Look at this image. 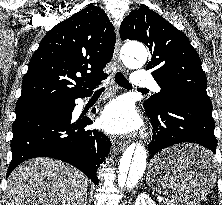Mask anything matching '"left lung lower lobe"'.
Wrapping results in <instances>:
<instances>
[{
	"label": "left lung lower lobe",
	"mask_w": 222,
	"mask_h": 205,
	"mask_svg": "<svg viewBox=\"0 0 222 205\" xmlns=\"http://www.w3.org/2000/svg\"><path fill=\"white\" fill-rule=\"evenodd\" d=\"M212 109L210 99L189 93H173L166 97L159 113L146 112L153 126V139L148 146L149 161L167 147L196 143L208 150L206 154L195 155L193 161L213 164L212 153L216 154L217 141Z\"/></svg>",
	"instance_id": "obj_1"
}]
</instances>
